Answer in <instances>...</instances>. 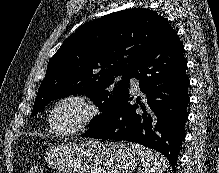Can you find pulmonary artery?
<instances>
[{"mask_svg": "<svg viewBox=\"0 0 219 173\" xmlns=\"http://www.w3.org/2000/svg\"><path fill=\"white\" fill-rule=\"evenodd\" d=\"M131 82H132L133 88H134L135 90H137V89H138V84H137L136 80H135L134 78H132V79H131Z\"/></svg>", "mask_w": 219, "mask_h": 173, "instance_id": "pulmonary-artery-1", "label": "pulmonary artery"}]
</instances>
